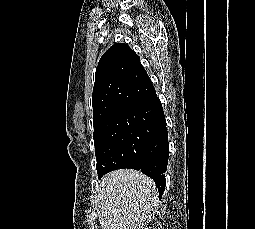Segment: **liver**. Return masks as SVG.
Returning a JSON list of instances; mask_svg holds the SVG:
<instances>
[{"label":"liver","mask_w":255,"mask_h":229,"mask_svg":"<svg viewBox=\"0 0 255 229\" xmlns=\"http://www.w3.org/2000/svg\"><path fill=\"white\" fill-rule=\"evenodd\" d=\"M97 200L102 229H146L145 222L158 207V192L143 173L120 169L102 178Z\"/></svg>","instance_id":"6515ba94"}]
</instances>
